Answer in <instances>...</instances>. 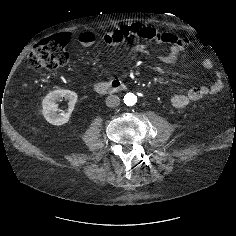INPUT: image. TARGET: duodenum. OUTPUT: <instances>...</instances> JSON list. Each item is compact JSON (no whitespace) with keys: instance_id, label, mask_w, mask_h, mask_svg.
<instances>
[{"instance_id":"duodenum-1","label":"duodenum","mask_w":236,"mask_h":236,"mask_svg":"<svg viewBox=\"0 0 236 236\" xmlns=\"http://www.w3.org/2000/svg\"><path fill=\"white\" fill-rule=\"evenodd\" d=\"M126 84L119 80L100 81L95 84V91L99 94H112L123 91Z\"/></svg>"}]
</instances>
